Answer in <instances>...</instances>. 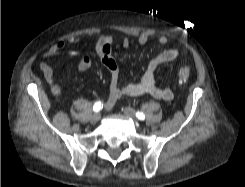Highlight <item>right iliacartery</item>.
<instances>
[{
  "instance_id": "right-iliac-artery-1",
  "label": "right iliac artery",
  "mask_w": 245,
  "mask_h": 187,
  "mask_svg": "<svg viewBox=\"0 0 245 187\" xmlns=\"http://www.w3.org/2000/svg\"><path fill=\"white\" fill-rule=\"evenodd\" d=\"M103 105L102 103L99 101V102H96L93 106V110L95 112H99L101 109H102Z\"/></svg>"
}]
</instances>
